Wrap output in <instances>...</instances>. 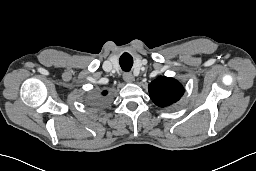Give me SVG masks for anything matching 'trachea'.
Here are the masks:
<instances>
[{
  "label": "trachea",
  "instance_id": "obj_1",
  "mask_svg": "<svg viewBox=\"0 0 256 171\" xmlns=\"http://www.w3.org/2000/svg\"><path fill=\"white\" fill-rule=\"evenodd\" d=\"M133 65V59L129 54H123L120 58V66L123 71H130Z\"/></svg>",
  "mask_w": 256,
  "mask_h": 171
}]
</instances>
